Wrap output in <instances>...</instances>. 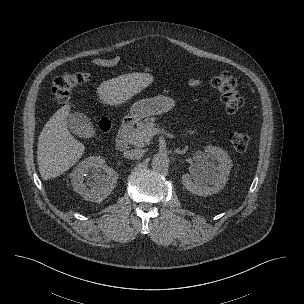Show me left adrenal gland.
Segmentation results:
<instances>
[{"mask_svg":"<svg viewBox=\"0 0 304 304\" xmlns=\"http://www.w3.org/2000/svg\"><path fill=\"white\" fill-rule=\"evenodd\" d=\"M188 150V146H186L184 149L180 150L179 148L175 149L176 154H185Z\"/></svg>","mask_w":304,"mask_h":304,"instance_id":"a2214340","label":"left adrenal gland"}]
</instances>
